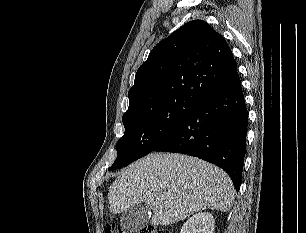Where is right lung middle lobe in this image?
Instances as JSON below:
<instances>
[{
  "mask_svg": "<svg viewBox=\"0 0 306 233\" xmlns=\"http://www.w3.org/2000/svg\"><path fill=\"white\" fill-rule=\"evenodd\" d=\"M199 104L183 99L156 101L124 113V136L117 142V158L109 171L127 166L160 145Z\"/></svg>",
  "mask_w": 306,
  "mask_h": 233,
  "instance_id": "dd1d6c3e",
  "label": "right lung middle lobe"
}]
</instances>
